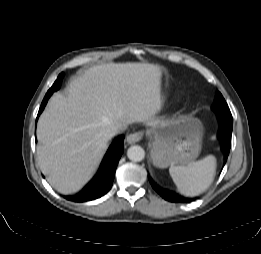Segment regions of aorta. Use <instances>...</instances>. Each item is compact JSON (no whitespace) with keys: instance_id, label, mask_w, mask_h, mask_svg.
Returning <instances> with one entry per match:
<instances>
[{"instance_id":"obj_1","label":"aorta","mask_w":261,"mask_h":254,"mask_svg":"<svg viewBox=\"0 0 261 254\" xmlns=\"http://www.w3.org/2000/svg\"><path fill=\"white\" fill-rule=\"evenodd\" d=\"M127 156L130 160L134 162H140L145 157V151L141 146L134 145L128 148Z\"/></svg>"}]
</instances>
